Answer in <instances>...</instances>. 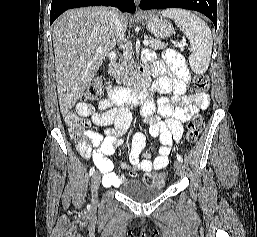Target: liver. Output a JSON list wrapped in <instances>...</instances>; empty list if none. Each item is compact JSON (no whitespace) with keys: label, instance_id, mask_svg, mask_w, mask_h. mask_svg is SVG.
I'll return each instance as SVG.
<instances>
[{"label":"liver","instance_id":"1","mask_svg":"<svg viewBox=\"0 0 257 237\" xmlns=\"http://www.w3.org/2000/svg\"><path fill=\"white\" fill-rule=\"evenodd\" d=\"M119 16L125 33L127 17ZM52 36L59 105L66 115L120 39L105 7L66 11L53 23Z\"/></svg>","mask_w":257,"mask_h":237}]
</instances>
